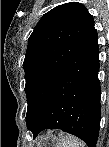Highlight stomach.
<instances>
[{
  "label": "stomach",
  "mask_w": 109,
  "mask_h": 147,
  "mask_svg": "<svg viewBox=\"0 0 109 147\" xmlns=\"http://www.w3.org/2000/svg\"><path fill=\"white\" fill-rule=\"evenodd\" d=\"M63 143L62 133H56L54 131H47L33 141V147H61Z\"/></svg>",
  "instance_id": "0dacf381"
}]
</instances>
